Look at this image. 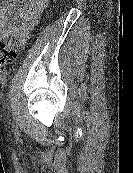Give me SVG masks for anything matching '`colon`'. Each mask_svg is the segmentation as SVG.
<instances>
[{"instance_id": "colon-1", "label": "colon", "mask_w": 133, "mask_h": 173, "mask_svg": "<svg viewBox=\"0 0 133 173\" xmlns=\"http://www.w3.org/2000/svg\"><path fill=\"white\" fill-rule=\"evenodd\" d=\"M17 57V47L14 41H5L0 38V68L14 63Z\"/></svg>"}]
</instances>
